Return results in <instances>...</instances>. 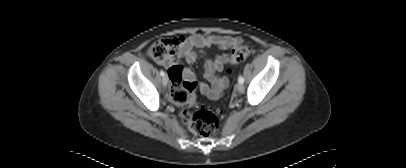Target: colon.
Segmentation results:
<instances>
[{"instance_id":"obj_1","label":"colon","mask_w":406,"mask_h":168,"mask_svg":"<svg viewBox=\"0 0 406 168\" xmlns=\"http://www.w3.org/2000/svg\"><path fill=\"white\" fill-rule=\"evenodd\" d=\"M171 51L170 42L161 40L151 45L149 55L154 61L161 63L170 56ZM249 55L250 48L240 45L228 56L229 65H238ZM181 71L180 65H174L168 70L171 78L170 97L176 105L181 107L182 121L193 133L204 138L212 137L219 129V119L211 109L197 103L194 96L195 84L188 81L182 82L179 77Z\"/></svg>"}]
</instances>
